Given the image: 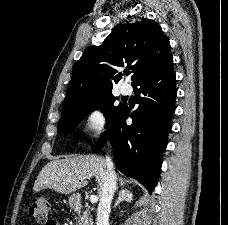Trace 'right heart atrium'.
<instances>
[{"instance_id": "d8ad5b80", "label": "right heart atrium", "mask_w": 228, "mask_h": 225, "mask_svg": "<svg viewBox=\"0 0 228 225\" xmlns=\"http://www.w3.org/2000/svg\"><path fill=\"white\" fill-rule=\"evenodd\" d=\"M84 130L91 136H101L106 132V114L101 108H92L82 118Z\"/></svg>"}]
</instances>
